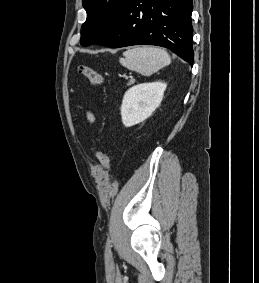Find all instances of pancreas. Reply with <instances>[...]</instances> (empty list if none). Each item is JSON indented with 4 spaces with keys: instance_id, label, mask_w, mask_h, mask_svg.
Here are the masks:
<instances>
[{
    "instance_id": "pancreas-1",
    "label": "pancreas",
    "mask_w": 259,
    "mask_h": 283,
    "mask_svg": "<svg viewBox=\"0 0 259 283\" xmlns=\"http://www.w3.org/2000/svg\"><path fill=\"white\" fill-rule=\"evenodd\" d=\"M133 83H134V80H129L128 83H127V85H131V84H133Z\"/></svg>"
}]
</instances>
